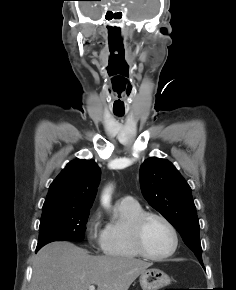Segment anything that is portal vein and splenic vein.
<instances>
[{
	"label": "portal vein and splenic vein",
	"mask_w": 236,
	"mask_h": 290,
	"mask_svg": "<svg viewBox=\"0 0 236 290\" xmlns=\"http://www.w3.org/2000/svg\"><path fill=\"white\" fill-rule=\"evenodd\" d=\"M89 290H95V286L94 285H90L89 286Z\"/></svg>",
	"instance_id": "1"
}]
</instances>
